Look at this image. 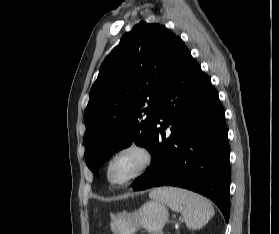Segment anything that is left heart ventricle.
Wrapping results in <instances>:
<instances>
[{"label":"left heart ventricle","instance_id":"b2bd125f","mask_svg":"<svg viewBox=\"0 0 279 234\" xmlns=\"http://www.w3.org/2000/svg\"><path fill=\"white\" fill-rule=\"evenodd\" d=\"M139 159L133 154H127L118 159L112 166L111 177L115 181H121L130 175L137 167Z\"/></svg>","mask_w":279,"mask_h":234}]
</instances>
